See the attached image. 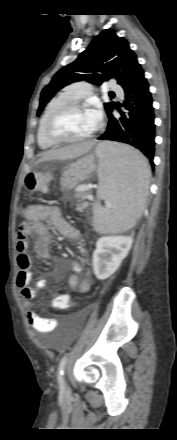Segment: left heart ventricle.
Instances as JSON below:
<instances>
[{
	"instance_id": "obj_1",
	"label": "left heart ventricle",
	"mask_w": 177,
	"mask_h": 440,
	"mask_svg": "<svg viewBox=\"0 0 177 440\" xmlns=\"http://www.w3.org/2000/svg\"><path fill=\"white\" fill-rule=\"evenodd\" d=\"M56 131L70 139L87 136L93 131L87 110H75L66 114L58 123Z\"/></svg>"
}]
</instances>
